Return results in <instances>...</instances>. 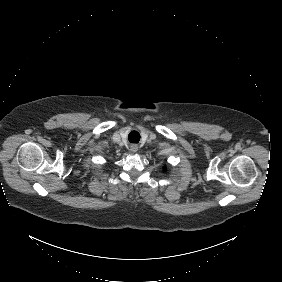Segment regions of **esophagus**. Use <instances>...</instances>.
Wrapping results in <instances>:
<instances>
[{
	"mask_svg": "<svg viewBox=\"0 0 282 282\" xmlns=\"http://www.w3.org/2000/svg\"><path fill=\"white\" fill-rule=\"evenodd\" d=\"M130 151L131 152H137L138 151V146L137 145H131Z\"/></svg>",
	"mask_w": 282,
	"mask_h": 282,
	"instance_id": "esophagus-1",
	"label": "esophagus"
}]
</instances>
